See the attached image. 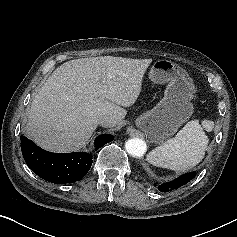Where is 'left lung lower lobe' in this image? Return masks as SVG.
Instances as JSON below:
<instances>
[{"label":"left lung lower lobe","instance_id":"1","mask_svg":"<svg viewBox=\"0 0 237 237\" xmlns=\"http://www.w3.org/2000/svg\"><path fill=\"white\" fill-rule=\"evenodd\" d=\"M196 175V172H190L184 175H181L180 177L176 178L175 180L169 182V183H163L158 186V190L161 192H168L173 189H178L179 187L187 184L192 180Z\"/></svg>","mask_w":237,"mask_h":237}]
</instances>
